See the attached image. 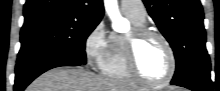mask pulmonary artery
I'll return each instance as SVG.
<instances>
[{
    "mask_svg": "<svg viewBox=\"0 0 220 91\" xmlns=\"http://www.w3.org/2000/svg\"><path fill=\"white\" fill-rule=\"evenodd\" d=\"M121 10L126 15L138 22L146 21V8L142 1L124 0L121 2Z\"/></svg>",
    "mask_w": 220,
    "mask_h": 91,
    "instance_id": "pulmonary-artery-1",
    "label": "pulmonary artery"
}]
</instances>
